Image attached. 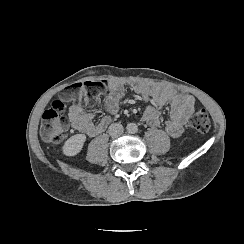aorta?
<instances>
[{"label":"aorta","mask_w":244,"mask_h":244,"mask_svg":"<svg viewBox=\"0 0 244 244\" xmlns=\"http://www.w3.org/2000/svg\"><path fill=\"white\" fill-rule=\"evenodd\" d=\"M126 129L129 133L134 134L138 131V126L135 123H129L126 126Z\"/></svg>","instance_id":"aorta-1"}]
</instances>
